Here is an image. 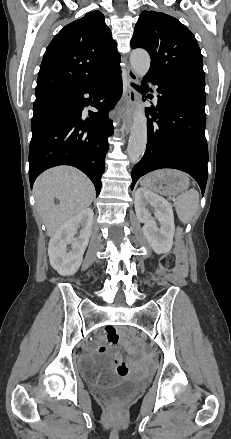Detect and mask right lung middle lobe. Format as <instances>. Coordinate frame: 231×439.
<instances>
[{
	"label": "right lung middle lobe",
	"mask_w": 231,
	"mask_h": 439,
	"mask_svg": "<svg viewBox=\"0 0 231 439\" xmlns=\"http://www.w3.org/2000/svg\"><path fill=\"white\" fill-rule=\"evenodd\" d=\"M34 117H42L51 114L56 110V106L52 104L33 105Z\"/></svg>",
	"instance_id": "1"
}]
</instances>
